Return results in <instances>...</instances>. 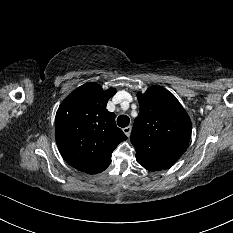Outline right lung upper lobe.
Returning a JSON list of instances; mask_svg holds the SVG:
<instances>
[{
    "label": "right lung upper lobe",
    "instance_id": "1",
    "mask_svg": "<svg viewBox=\"0 0 233 233\" xmlns=\"http://www.w3.org/2000/svg\"><path fill=\"white\" fill-rule=\"evenodd\" d=\"M114 88L104 91L97 83H86L59 106L55 119L56 142L63 158L72 167L88 174L104 171L111 154L126 140L116 126L115 114L106 109Z\"/></svg>",
    "mask_w": 233,
    "mask_h": 233
}]
</instances>
